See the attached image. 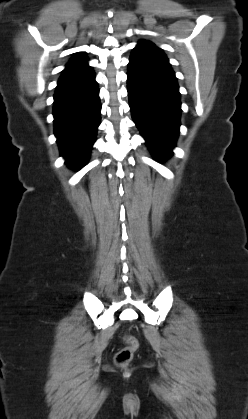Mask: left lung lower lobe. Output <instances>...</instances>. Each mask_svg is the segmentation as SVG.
<instances>
[{
	"label": "left lung lower lobe",
	"instance_id": "obj_1",
	"mask_svg": "<svg viewBox=\"0 0 248 419\" xmlns=\"http://www.w3.org/2000/svg\"><path fill=\"white\" fill-rule=\"evenodd\" d=\"M127 90L132 118L158 159L172 154L179 134L181 102L167 58L136 47L128 64Z\"/></svg>",
	"mask_w": 248,
	"mask_h": 419
}]
</instances>
